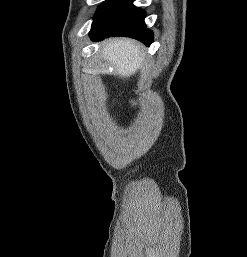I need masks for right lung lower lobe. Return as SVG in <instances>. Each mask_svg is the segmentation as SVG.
<instances>
[{
	"instance_id": "right-lung-lower-lobe-1",
	"label": "right lung lower lobe",
	"mask_w": 247,
	"mask_h": 257,
	"mask_svg": "<svg viewBox=\"0 0 247 257\" xmlns=\"http://www.w3.org/2000/svg\"><path fill=\"white\" fill-rule=\"evenodd\" d=\"M133 0H107L95 13L90 37L94 41L108 36H127L149 46L153 33L144 23L145 12L132 4Z\"/></svg>"
}]
</instances>
